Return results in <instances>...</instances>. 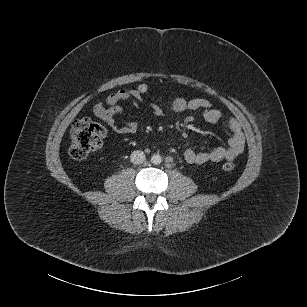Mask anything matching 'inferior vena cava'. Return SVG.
Wrapping results in <instances>:
<instances>
[{"mask_svg":"<svg viewBox=\"0 0 307 307\" xmlns=\"http://www.w3.org/2000/svg\"><path fill=\"white\" fill-rule=\"evenodd\" d=\"M130 159L134 164H141L145 160V154L141 150H135L132 152Z\"/></svg>","mask_w":307,"mask_h":307,"instance_id":"obj_1","label":"inferior vena cava"}]
</instances>
